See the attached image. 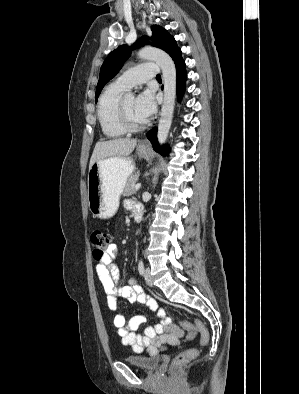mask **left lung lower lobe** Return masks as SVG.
Returning a JSON list of instances; mask_svg holds the SVG:
<instances>
[{
    "label": "left lung lower lobe",
    "mask_w": 299,
    "mask_h": 394,
    "mask_svg": "<svg viewBox=\"0 0 299 394\" xmlns=\"http://www.w3.org/2000/svg\"><path fill=\"white\" fill-rule=\"evenodd\" d=\"M176 66V73H177V95L178 100H181L182 95L185 91V82L187 78V73L185 69V62L181 56V50L179 49L178 52L172 57ZM148 139L151 141L154 150L160 152L162 155L166 154L168 151L166 148H159L158 141H157V130L156 128L150 130L147 134Z\"/></svg>",
    "instance_id": "0a47b994"
}]
</instances>
